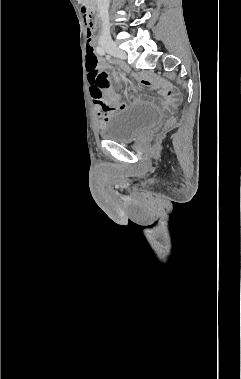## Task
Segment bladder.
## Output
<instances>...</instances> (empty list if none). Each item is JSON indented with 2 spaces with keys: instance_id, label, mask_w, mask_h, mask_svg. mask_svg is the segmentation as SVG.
I'll list each match as a JSON object with an SVG mask.
<instances>
[{
  "instance_id": "1",
  "label": "bladder",
  "mask_w": 241,
  "mask_h": 379,
  "mask_svg": "<svg viewBox=\"0 0 241 379\" xmlns=\"http://www.w3.org/2000/svg\"><path fill=\"white\" fill-rule=\"evenodd\" d=\"M162 112L151 105L136 104L113 112L101 124L100 136L117 143H129L161 122Z\"/></svg>"
}]
</instances>
